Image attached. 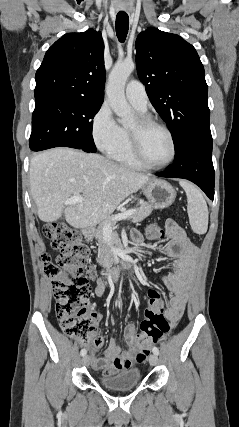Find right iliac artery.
I'll return each instance as SVG.
<instances>
[{
    "label": "right iliac artery",
    "instance_id": "right-iliac-artery-1",
    "mask_svg": "<svg viewBox=\"0 0 239 427\" xmlns=\"http://www.w3.org/2000/svg\"><path fill=\"white\" fill-rule=\"evenodd\" d=\"M80 354H81V356H85L87 354L86 349H82L81 352H80Z\"/></svg>",
    "mask_w": 239,
    "mask_h": 427
}]
</instances>
